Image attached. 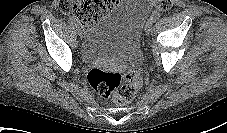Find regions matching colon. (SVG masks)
I'll return each mask as SVG.
<instances>
[{"mask_svg":"<svg viewBox=\"0 0 227 133\" xmlns=\"http://www.w3.org/2000/svg\"><path fill=\"white\" fill-rule=\"evenodd\" d=\"M118 0H60L59 8L65 14L75 16L84 26L96 23L107 11L117 5ZM159 9L171 7V0H155ZM92 88L102 97L111 98L118 105L131 102L142 86L138 70L130 69L125 73L105 71L94 68L88 73Z\"/></svg>","mask_w":227,"mask_h":133,"instance_id":"1","label":"colon"}]
</instances>
